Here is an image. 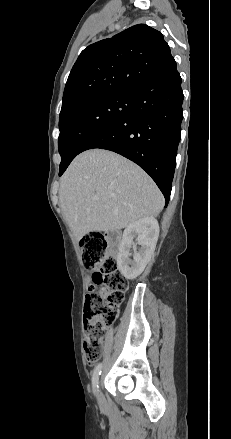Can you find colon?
<instances>
[{
	"mask_svg": "<svg viewBox=\"0 0 231 439\" xmlns=\"http://www.w3.org/2000/svg\"><path fill=\"white\" fill-rule=\"evenodd\" d=\"M80 248L83 265L93 271V280L98 287L86 295L84 305V353L87 361L94 363L100 358L103 336L116 317L128 282L120 273L102 234H87L81 240Z\"/></svg>",
	"mask_w": 231,
	"mask_h": 439,
	"instance_id": "5ec220e1",
	"label": "colon"
}]
</instances>
